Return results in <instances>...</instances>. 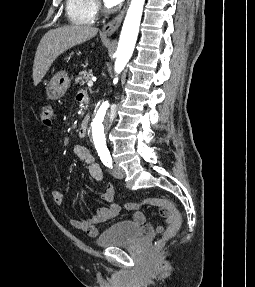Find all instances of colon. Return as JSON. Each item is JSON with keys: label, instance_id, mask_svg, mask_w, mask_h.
<instances>
[{"label": "colon", "instance_id": "obj_1", "mask_svg": "<svg viewBox=\"0 0 255 287\" xmlns=\"http://www.w3.org/2000/svg\"><path fill=\"white\" fill-rule=\"evenodd\" d=\"M38 116L42 122V124L49 128L52 125V121L54 118V111L50 105H43L39 108ZM159 206L166 209L170 215V224L169 228L163 235V240H167L172 238L181 228L182 225V216L177 208L168 200L161 198H150L146 199L140 203H127L125 208L127 210L137 209L142 206Z\"/></svg>", "mask_w": 255, "mask_h": 287}]
</instances>
